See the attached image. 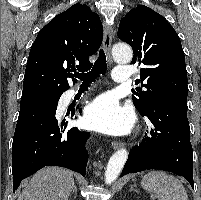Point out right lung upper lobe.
<instances>
[{"instance_id":"obj_1","label":"right lung upper lobe","mask_w":201,"mask_h":200,"mask_svg":"<svg viewBox=\"0 0 201 200\" xmlns=\"http://www.w3.org/2000/svg\"><path fill=\"white\" fill-rule=\"evenodd\" d=\"M99 16L87 5L74 4L38 33L29 53L22 97L62 95L69 89L72 71H86L102 43Z\"/></svg>"}]
</instances>
